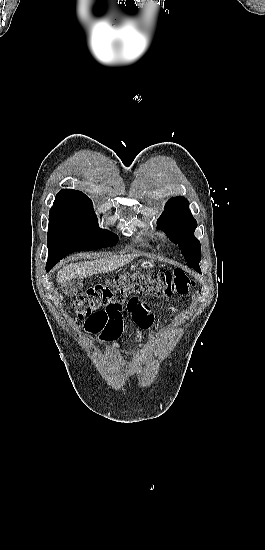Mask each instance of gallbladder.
<instances>
[{
  "label": "gallbladder",
  "mask_w": 265,
  "mask_h": 550,
  "mask_svg": "<svg viewBox=\"0 0 265 550\" xmlns=\"http://www.w3.org/2000/svg\"><path fill=\"white\" fill-rule=\"evenodd\" d=\"M63 286L64 292L68 296H74L81 290L83 284L81 280H70L67 281Z\"/></svg>",
  "instance_id": "1"
}]
</instances>
